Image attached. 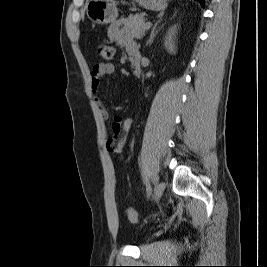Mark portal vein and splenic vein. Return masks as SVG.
I'll return each instance as SVG.
<instances>
[{"instance_id":"portal-vein-and-splenic-vein-1","label":"portal vein and splenic vein","mask_w":267,"mask_h":267,"mask_svg":"<svg viewBox=\"0 0 267 267\" xmlns=\"http://www.w3.org/2000/svg\"><path fill=\"white\" fill-rule=\"evenodd\" d=\"M152 26L151 22H147L145 25V30H148Z\"/></svg>"}]
</instances>
